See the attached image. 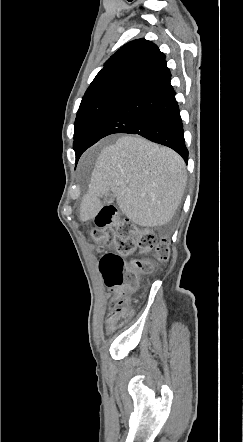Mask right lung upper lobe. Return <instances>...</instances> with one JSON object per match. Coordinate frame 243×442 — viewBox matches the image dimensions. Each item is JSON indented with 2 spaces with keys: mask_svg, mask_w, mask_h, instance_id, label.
Instances as JSON below:
<instances>
[{
  "mask_svg": "<svg viewBox=\"0 0 243 442\" xmlns=\"http://www.w3.org/2000/svg\"><path fill=\"white\" fill-rule=\"evenodd\" d=\"M168 70L165 55L151 41L137 39L122 46L104 64L82 101L114 92H131Z\"/></svg>",
  "mask_w": 243,
  "mask_h": 442,
  "instance_id": "right-lung-upper-lobe-1",
  "label": "right lung upper lobe"
}]
</instances>
